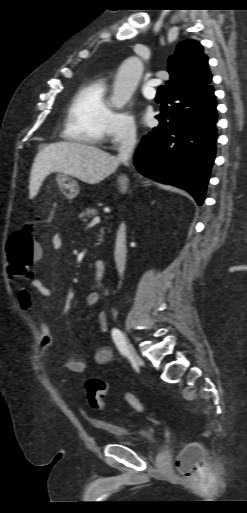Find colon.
Returning <instances> with one entry per match:
<instances>
[{"mask_svg": "<svg viewBox=\"0 0 247 513\" xmlns=\"http://www.w3.org/2000/svg\"><path fill=\"white\" fill-rule=\"evenodd\" d=\"M36 231L37 224L29 222L10 236L7 244L8 272L14 279H25L33 274V264L39 255ZM85 387L89 404L95 409L101 408L109 394V385L99 377H92L86 381ZM122 396L134 411L148 412L146 406L135 394L123 392ZM201 460L200 447L197 444H190L177 457V470L184 476L192 475L199 469Z\"/></svg>", "mask_w": 247, "mask_h": 513, "instance_id": "obj_1", "label": "colon"}]
</instances>
